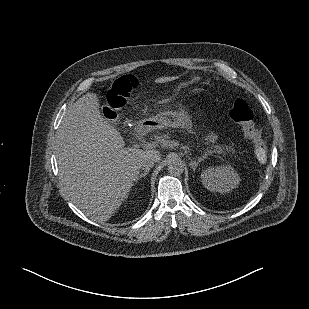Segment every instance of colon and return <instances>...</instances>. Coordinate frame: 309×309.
<instances>
[{"label": "colon", "mask_w": 309, "mask_h": 309, "mask_svg": "<svg viewBox=\"0 0 309 309\" xmlns=\"http://www.w3.org/2000/svg\"><path fill=\"white\" fill-rule=\"evenodd\" d=\"M138 80L133 75H123L110 83L101 92L103 112L114 115L125 107L128 98L137 87ZM230 118L242 128L246 137L252 140L254 151L259 161H266L267 146L261 132L255 126L253 112L242 99L234 102Z\"/></svg>", "instance_id": "obj_1"}]
</instances>
